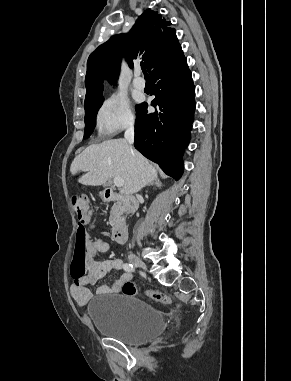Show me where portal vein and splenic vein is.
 I'll list each match as a JSON object with an SVG mask.
<instances>
[{
	"mask_svg": "<svg viewBox=\"0 0 291 381\" xmlns=\"http://www.w3.org/2000/svg\"><path fill=\"white\" fill-rule=\"evenodd\" d=\"M114 185L117 187H122L124 185V180L120 177H115L113 179Z\"/></svg>",
	"mask_w": 291,
	"mask_h": 381,
	"instance_id": "portal-vein-and-splenic-vein-1",
	"label": "portal vein and splenic vein"
}]
</instances>
